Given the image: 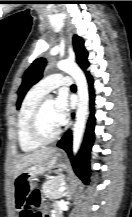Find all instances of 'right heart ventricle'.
<instances>
[{
	"instance_id": "e07e8e85",
	"label": "right heart ventricle",
	"mask_w": 132,
	"mask_h": 217,
	"mask_svg": "<svg viewBox=\"0 0 132 217\" xmlns=\"http://www.w3.org/2000/svg\"><path fill=\"white\" fill-rule=\"evenodd\" d=\"M45 95L44 92L34 86L26 93L22 101L18 115L17 137L20 149L23 152H33L41 147V144L31 137L29 124L35 107Z\"/></svg>"
}]
</instances>
